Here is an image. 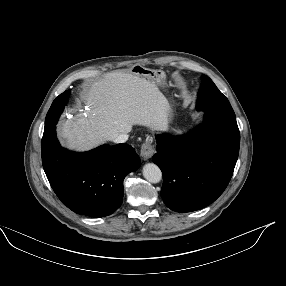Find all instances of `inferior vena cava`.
<instances>
[{
  "label": "inferior vena cava",
  "instance_id": "obj_1",
  "mask_svg": "<svg viewBox=\"0 0 286 286\" xmlns=\"http://www.w3.org/2000/svg\"><path fill=\"white\" fill-rule=\"evenodd\" d=\"M128 140L127 133H120L112 139L114 143H124Z\"/></svg>",
  "mask_w": 286,
  "mask_h": 286
}]
</instances>
